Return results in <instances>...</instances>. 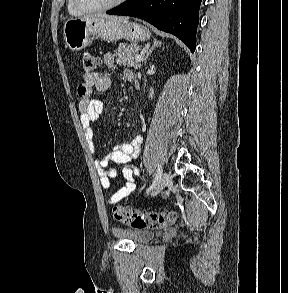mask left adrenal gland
<instances>
[{"instance_id": "obj_1", "label": "left adrenal gland", "mask_w": 288, "mask_h": 293, "mask_svg": "<svg viewBox=\"0 0 288 293\" xmlns=\"http://www.w3.org/2000/svg\"><path fill=\"white\" fill-rule=\"evenodd\" d=\"M160 44H161L160 41H157L156 39L154 40L152 47H151L150 49H148V51H147V53H146V56H145V58H144V64H145V65H146V63H147V59H148L149 55H150V54H151V53H152L157 47H159Z\"/></svg>"}]
</instances>
